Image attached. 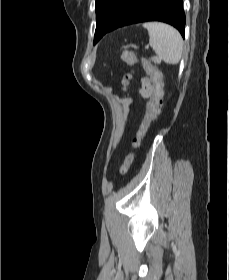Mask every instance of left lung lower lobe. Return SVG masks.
I'll list each match as a JSON object with an SVG mask.
<instances>
[{"instance_id": "1", "label": "left lung lower lobe", "mask_w": 229, "mask_h": 280, "mask_svg": "<svg viewBox=\"0 0 229 280\" xmlns=\"http://www.w3.org/2000/svg\"><path fill=\"white\" fill-rule=\"evenodd\" d=\"M146 21L168 23L174 26L184 37L183 0H129L126 9L108 32L122 26ZM99 40L94 39V44Z\"/></svg>"}]
</instances>
